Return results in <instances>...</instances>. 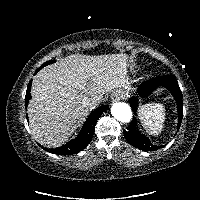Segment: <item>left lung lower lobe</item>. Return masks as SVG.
Returning <instances> with one entry per match:
<instances>
[{"label":"left lung lower lobe","mask_w":200,"mask_h":200,"mask_svg":"<svg viewBox=\"0 0 200 200\" xmlns=\"http://www.w3.org/2000/svg\"><path fill=\"white\" fill-rule=\"evenodd\" d=\"M159 86L166 87L175 98L178 110V129L182 122L183 117V103H182V93L179 88L178 82L173 75H163L152 80L146 81L139 87V96L145 97L150 95ZM130 106L133 111H137L138 99L133 97L129 100ZM123 134L127 141L134 147L143 151H154L158 150L160 146L153 145L149 138L141 134L137 127V121L134 119L133 122L127 127V130L123 131Z\"/></svg>","instance_id":"1"}]
</instances>
